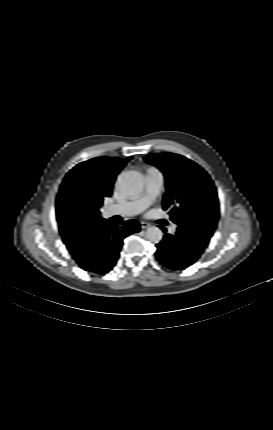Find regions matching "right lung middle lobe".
<instances>
[{
  "label": "right lung middle lobe",
  "mask_w": 273,
  "mask_h": 430,
  "mask_svg": "<svg viewBox=\"0 0 273 430\" xmlns=\"http://www.w3.org/2000/svg\"><path fill=\"white\" fill-rule=\"evenodd\" d=\"M99 207L83 196L73 195L63 202L60 209V219L67 229H81L99 216Z\"/></svg>",
  "instance_id": "dd1d6c3e"
}]
</instances>
